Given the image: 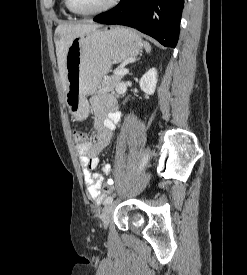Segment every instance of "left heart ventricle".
Masks as SVG:
<instances>
[{
    "instance_id": "obj_1",
    "label": "left heart ventricle",
    "mask_w": 247,
    "mask_h": 275,
    "mask_svg": "<svg viewBox=\"0 0 247 275\" xmlns=\"http://www.w3.org/2000/svg\"><path fill=\"white\" fill-rule=\"evenodd\" d=\"M109 0H69L72 8L77 11H92L103 5Z\"/></svg>"
}]
</instances>
